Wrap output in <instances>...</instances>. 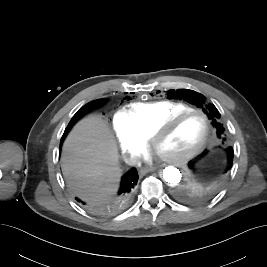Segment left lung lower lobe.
I'll use <instances>...</instances> for the list:
<instances>
[{
  "label": "left lung lower lobe",
  "instance_id": "0a47b994",
  "mask_svg": "<svg viewBox=\"0 0 267 267\" xmlns=\"http://www.w3.org/2000/svg\"><path fill=\"white\" fill-rule=\"evenodd\" d=\"M233 148L226 139L215 143V150L201 152L197 158L188 163L189 172L201 183L216 184L225 179L233 167Z\"/></svg>",
  "mask_w": 267,
  "mask_h": 267
}]
</instances>
